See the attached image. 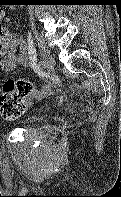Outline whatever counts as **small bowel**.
Segmentation results:
<instances>
[{
  "label": "small bowel",
  "instance_id": "1",
  "mask_svg": "<svg viewBox=\"0 0 121 197\" xmlns=\"http://www.w3.org/2000/svg\"><path fill=\"white\" fill-rule=\"evenodd\" d=\"M5 12L0 10V70L12 71L17 65H29L30 55L28 47L22 37L18 33H12L7 27L1 24ZM20 47L21 53L17 58L15 56L16 47ZM50 90L48 83L44 84L40 89L34 88L31 98L42 99Z\"/></svg>",
  "mask_w": 121,
  "mask_h": 197
}]
</instances>
